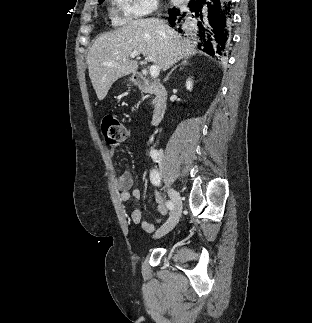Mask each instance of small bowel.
Masks as SVG:
<instances>
[{
	"label": "small bowel",
	"mask_w": 312,
	"mask_h": 323,
	"mask_svg": "<svg viewBox=\"0 0 312 323\" xmlns=\"http://www.w3.org/2000/svg\"><path fill=\"white\" fill-rule=\"evenodd\" d=\"M110 155L115 154V149L111 148L109 150ZM133 186V175L130 171H125L119 174L117 178V188L120 191V199L123 203L128 204L131 203L133 199H139L141 197V192L139 189H132ZM155 203L156 208L159 213V217L154 219L153 221H145L142 222V211L134 207L130 214V221L137 225L142 222V228L146 232H152L155 228L161 224L162 217L168 213L167 207L163 203L162 199L158 195L155 194Z\"/></svg>",
	"instance_id": "obj_1"
}]
</instances>
